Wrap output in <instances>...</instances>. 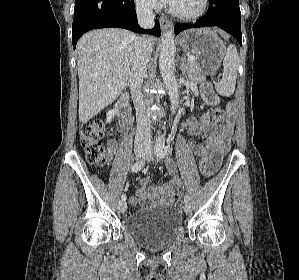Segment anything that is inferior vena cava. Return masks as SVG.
Wrapping results in <instances>:
<instances>
[{
    "instance_id": "inferior-vena-cava-1",
    "label": "inferior vena cava",
    "mask_w": 299,
    "mask_h": 280,
    "mask_svg": "<svg viewBox=\"0 0 299 280\" xmlns=\"http://www.w3.org/2000/svg\"><path fill=\"white\" fill-rule=\"evenodd\" d=\"M136 13L139 25L144 29L154 26L155 15L152 10L151 0H138ZM152 53V45L149 38L140 37L135 42L134 57L128 77L133 103L136 109L137 131L135 144H149L151 135V121L147 114L145 103L141 93L143 79L147 72V65Z\"/></svg>"
}]
</instances>
